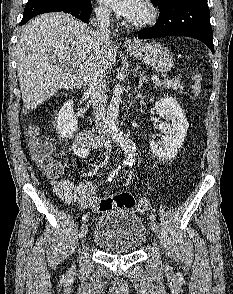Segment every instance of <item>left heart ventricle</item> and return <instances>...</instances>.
I'll use <instances>...</instances> for the list:
<instances>
[{
    "label": "left heart ventricle",
    "instance_id": "left-heart-ventricle-1",
    "mask_svg": "<svg viewBox=\"0 0 233 294\" xmlns=\"http://www.w3.org/2000/svg\"><path fill=\"white\" fill-rule=\"evenodd\" d=\"M144 14V8L142 7L141 11L132 19V20H137L140 19Z\"/></svg>",
    "mask_w": 233,
    "mask_h": 294
}]
</instances>
